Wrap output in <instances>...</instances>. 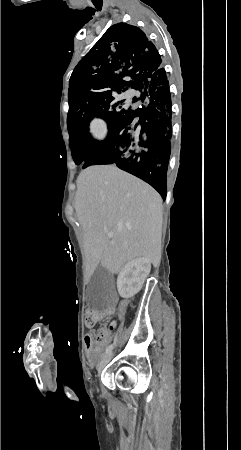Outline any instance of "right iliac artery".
<instances>
[{
  "instance_id": "1",
  "label": "right iliac artery",
  "mask_w": 241,
  "mask_h": 450,
  "mask_svg": "<svg viewBox=\"0 0 241 450\" xmlns=\"http://www.w3.org/2000/svg\"><path fill=\"white\" fill-rule=\"evenodd\" d=\"M112 349H113V344L109 345V346L106 348L105 353H106V354L110 353Z\"/></svg>"
}]
</instances>
